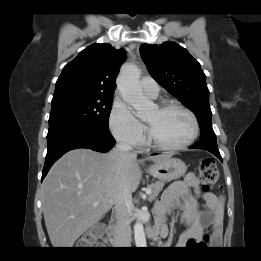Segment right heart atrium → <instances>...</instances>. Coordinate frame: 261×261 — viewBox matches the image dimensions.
<instances>
[{"mask_svg": "<svg viewBox=\"0 0 261 261\" xmlns=\"http://www.w3.org/2000/svg\"><path fill=\"white\" fill-rule=\"evenodd\" d=\"M109 128L114 138L125 146L140 147L144 142L145 128L143 124L121 101H116L111 108Z\"/></svg>", "mask_w": 261, "mask_h": 261, "instance_id": "d8ad5b80", "label": "right heart atrium"}]
</instances>
